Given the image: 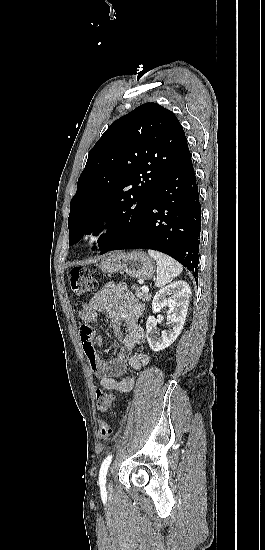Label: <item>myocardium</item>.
<instances>
[{
	"instance_id": "1",
	"label": "myocardium",
	"mask_w": 265,
	"mask_h": 550,
	"mask_svg": "<svg viewBox=\"0 0 265 550\" xmlns=\"http://www.w3.org/2000/svg\"><path fill=\"white\" fill-rule=\"evenodd\" d=\"M112 223L109 220H101L93 223L87 230L85 236L89 240H95L106 235L111 229Z\"/></svg>"
}]
</instances>
